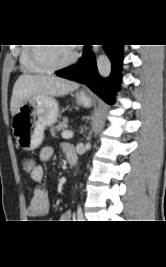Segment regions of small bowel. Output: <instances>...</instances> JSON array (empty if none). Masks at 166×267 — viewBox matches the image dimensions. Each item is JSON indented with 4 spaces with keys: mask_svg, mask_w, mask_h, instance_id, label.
Here are the masks:
<instances>
[{
    "mask_svg": "<svg viewBox=\"0 0 166 267\" xmlns=\"http://www.w3.org/2000/svg\"><path fill=\"white\" fill-rule=\"evenodd\" d=\"M63 150L67 158L69 156L76 157L71 145L64 144ZM53 153L54 150L52 147H43L39 154L40 161L44 162L50 160L53 156ZM30 177L33 181V188L30 204L27 208V215L29 217H42L49 212L51 208V202L49 192L47 188L42 184V180L44 177V169L41 164H35L32 171H30ZM71 220L72 213L70 211H66L61 217V222H71Z\"/></svg>",
    "mask_w": 166,
    "mask_h": 267,
    "instance_id": "1",
    "label": "small bowel"
}]
</instances>
